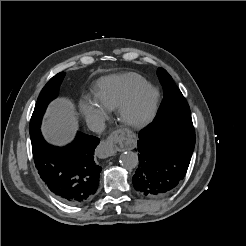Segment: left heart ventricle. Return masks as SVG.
<instances>
[{"instance_id":"obj_1","label":"left heart ventricle","mask_w":246,"mask_h":246,"mask_svg":"<svg viewBox=\"0 0 246 246\" xmlns=\"http://www.w3.org/2000/svg\"><path fill=\"white\" fill-rule=\"evenodd\" d=\"M147 106V100L145 97L139 99L132 109V114L138 116L144 112Z\"/></svg>"}]
</instances>
